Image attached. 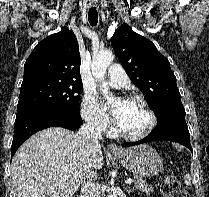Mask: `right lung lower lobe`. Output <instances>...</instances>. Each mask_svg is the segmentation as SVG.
I'll return each mask as SVG.
<instances>
[{
  "instance_id": "98d812e1",
  "label": "right lung lower lobe",
  "mask_w": 209,
  "mask_h": 197,
  "mask_svg": "<svg viewBox=\"0 0 209 197\" xmlns=\"http://www.w3.org/2000/svg\"><path fill=\"white\" fill-rule=\"evenodd\" d=\"M82 122L79 112L68 110H44L16 118L11 157L23 142L39 130L48 127H64L76 130Z\"/></svg>"
}]
</instances>
